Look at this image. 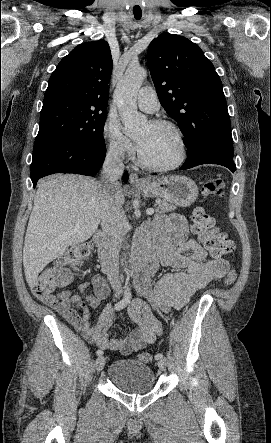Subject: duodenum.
Returning <instances> with one entry per match:
<instances>
[{
    "mask_svg": "<svg viewBox=\"0 0 271 443\" xmlns=\"http://www.w3.org/2000/svg\"><path fill=\"white\" fill-rule=\"evenodd\" d=\"M94 243L98 249V256L103 272L107 275H114L116 271V253L109 237L104 233H98L94 237ZM146 253L138 254L131 264V271L140 272L146 264Z\"/></svg>",
    "mask_w": 271,
    "mask_h": 443,
    "instance_id": "1",
    "label": "duodenum"
}]
</instances>
